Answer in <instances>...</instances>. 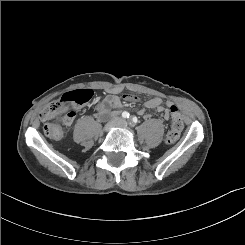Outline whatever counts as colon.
<instances>
[{
	"label": "colon",
	"instance_id": "1",
	"mask_svg": "<svg viewBox=\"0 0 245 245\" xmlns=\"http://www.w3.org/2000/svg\"><path fill=\"white\" fill-rule=\"evenodd\" d=\"M93 97L90 89H78L67 92L56 102L45 107L41 112V118L45 122L44 131L47 136L54 140L64 137L65 127L70 124L74 117V108L85 105ZM172 123L165 137L167 145L174 144L183 129V120L175 105L169 106Z\"/></svg>",
	"mask_w": 245,
	"mask_h": 245
}]
</instances>
